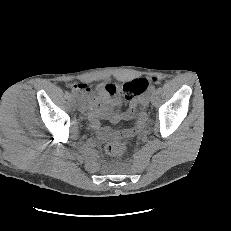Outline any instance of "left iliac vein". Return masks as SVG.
<instances>
[{"instance_id":"4c4485c4","label":"left iliac vein","mask_w":231,"mask_h":231,"mask_svg":"<svg viewBox=\"0 0 231 231\" xmlns=\"http://www.w3.org/2000/svg\"><path fill=\"white\" fill-rule=\"evenodd\" d=\"M150 95H151L150 91H147V92L144 94V96H143V98H142V103H143L144 105H148L149 100H150Z\"/></svg>"}]
</instances>
